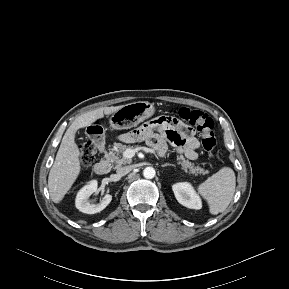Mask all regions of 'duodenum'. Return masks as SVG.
Wrapping results in <instances>:
<instances>
[{"instance_id":"duodenum-1","label":"duodenum","mask_w":289,"mask_h":289,"mask_svg":"<svg viewBox=\"0 0 289 289\" xmlns=\"http://www.w3.org/2000/svg\"><path fill=\"white\" fill-rule=\"evenodd\" d=\"M100 151L103 154V158L95 164L94 171L97 174H106L111 170V163L109 156L103 146L100 148Z\"/></svg>"}]
</instances>
